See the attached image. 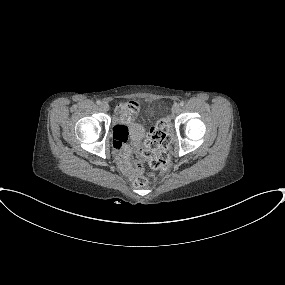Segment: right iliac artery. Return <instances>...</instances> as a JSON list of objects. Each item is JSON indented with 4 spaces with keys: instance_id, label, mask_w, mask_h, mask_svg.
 <instances>
[{
    "instance_id": "82829eb1",
    "label": "right iliac artery",
    "mask_w": 285,
    "mask_h": 285,
    "mask_svg": "<svg viewBox=\"0 0 285 285\" xmlns=\"http://www.w3.org/2000/svg\"><path fill=\"white\" fill-rule=\"evenodd\" d=\"M96 103H97V105H100V104H101V101H100V100H98Z\"/></svg>"
}]
</instances>
